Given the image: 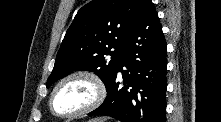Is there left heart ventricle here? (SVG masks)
<instances>
[{
  "label": "left heart ventricle",
  "mask_w": 221,
  "mask_h": 122,
  "mask_svg": "<svg viewBox=\"0 0 221 122\" xmlns=\"http://www.w3.org/2000/svg\"><path fill=\"white\" fill-rule=\"evenodd\" d=\"M94 97L92 84L85 79H74L62 85L53 100L57 112H77L86 107Z\"/></svg>",
  "instance_id": "obj_1"
}]
</instances>
